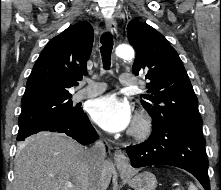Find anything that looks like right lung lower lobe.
<instances>
[{
    "mask_svg": "<svg viewBox=\"0 0 221 190\" xmlns=\"http://www.w3.org/2000/svg\"><path fill=\"white\" fill-rule=\"evenodd\" d=\"M44 131L65 133L83 145L93 143L98 138V135L96 134L94 127L91 125L87 115L82 111L81 115L72 122L43 125L25 133L18 134L17 140L24 141L25 138Z\"/></svg>",
    "mask_w": 221,
    "mask_h": 190,
    "instance_id": "obj_1",
    "label": "right lung lower lobe"
}]
</instances>
